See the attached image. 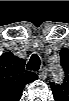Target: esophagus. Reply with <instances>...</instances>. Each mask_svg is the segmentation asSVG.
Wrapping results in <instances>:
<instances>
[{"mask_svg":"<svg viewBox=\"0 0 69 101\" xmlns=\"http://www.w3.org/2000/svg\"><path fill=\"white\" fill-rule=\"evenodd\" d=\"M38 77L40 79H43V80L47 77V70H46V68H43V69L39 70Z\"/></svg>","mask_w":69,"mask_h":101,"instance_id":"1","label":"esophagus"}]
</instances>
